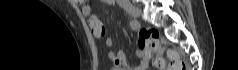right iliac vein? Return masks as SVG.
Masks as SVG:
<instances>
[{
  "instance_id": "obj_1",
  "label": "right iliac vein",
  "mask_w": 238,
  "mask_h": 70,
  "mask_svg": "<svg viewBox=\"0 0 238 70\" xmlns=\"http://www.w3.org/2000/svg\"><path fill=\"white\" fill-rule=\"evenodd\" d=\"M124 9L128 14H130L133 18H138L141 16V11L138 7L132 5V4H126L124 6Z\"/></svg>"
}]
</instances>
